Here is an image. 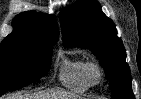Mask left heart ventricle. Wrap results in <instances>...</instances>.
<instances>
[{
  "mask_svg": "<svg viewBox=\"0 0 141 99\" xmlns=\"http://www.w3.org/2000/svg\"><path fill=\"white\" fill-rule=\"evenodd\" d=\"M93 77H94V78L96 77V73H93Z\"/></svg>",
  "mask_w": 141,
  "mask_h": 99,
  "instance_id": "1",
  "label": "left heart ventricle"
}]
</instances>
